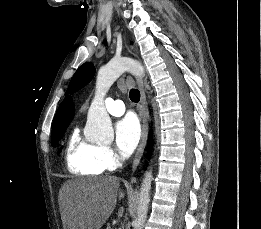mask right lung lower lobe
<instances>
[{"label":"right lung lower lobe","mask_w":261,"mask_h":229,"mask_svg":"<svg viewBox=\"0 0 261 229\" xmlns=\"http://www.w3.org/2000/svg\"><path fill=\"white\" fill-rule=\"evenodd\" d=\"M151 146H152V139L150 138L149 139V148H151ZM150 153V152H149Z\"/></svg>","instance_id":"98d812e1"}]
</instances>
